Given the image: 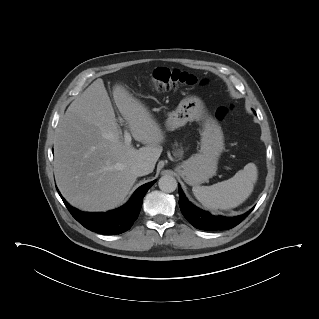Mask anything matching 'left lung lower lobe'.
Listing matches in <instances>:
<instances>
[{
    "label": "left lung lower lobe",
    "instance_id": "1",
    "mask_svg": "<svg viewBox=\"0 0 319 319\" xmlns=\"http://www.w3.org/2000/svg\"><path fill=\"white\" fill-rule=\"evenodd\" d=\"M179 187V206L184 217L196 228L202 230H225L237 226L241 223L252 211L236 217L213 216L194 205L186 199L184 193Z\"/></svg>",
    "mask_w": 319,
    "mask_h": 319
}]
</instances>
